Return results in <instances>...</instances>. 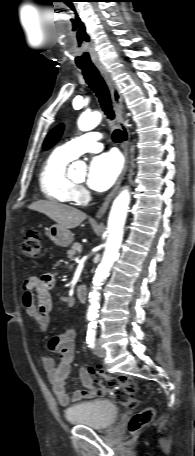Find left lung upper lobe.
I'll return each mask as SVG.
<instances>
[{"label": "left lung upper lobe", "instance_id": "left-lung-upper-lobe-1", "mask_svg": "<svg viewBox=\"0 0 195 456\" xmlns=\"http://www.w3.org/2000/svg\"><path fill=\"white\" fill-rule=\"evenodd\" d=\"M62 130H63V126L59 125L58 127L54 128L53 130L50 131V133L48 134V136L43 144V148L45 150L52 147L59 140V138L62 134Z\"/></svg>", "mask_w": 195, "mask_h": 456}]
</instances>
